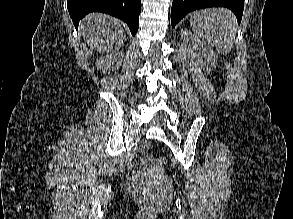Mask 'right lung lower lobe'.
I'll return each mask as SVG.
<instances>
[{"label":"right lung lower lobe","mask_w":293,"mask_h":219,"mask_svg":"<svg viewBox=\"0 0 293 219\" xmlns=\"http://www.w3.org/2000/svg\"><path fill=\"white\" fill-rule=\"evenodd\" d=\"M67 7L76 29L79 20L90 12H103L123 20L133 36L139 27L141 0H67Z\"/></svg>","instance_id":"right-lung-lower-lobe-1"}]
</instances>
